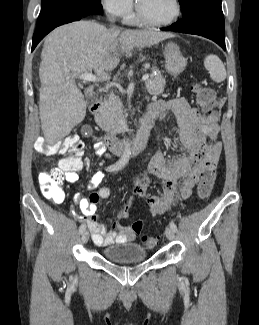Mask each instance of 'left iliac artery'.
<instances>
[{"mask_svg": "<svg viewBox=\"0 0 259 325\" xmlns=\"http://www.w3.org/2000/svg\"><path fill=\"white\" fill-rule=\"evenodd\" d=\"M170 227H171V229H172L174 232L177 231V226H176V224H175L173 221L170 222Z\"/></svg>", "mask_w": 259, "mask_h": 325, "instance_id": "left-iliac-artery-1", "label": "left iliac artery"}]
</instances>
